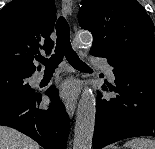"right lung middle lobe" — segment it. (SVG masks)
I'll return each instance as SVG.
<instances>
[{
    "label": "right lung middle lobe",
    "mask_w": 155,
    "mask_h": 149,
    "mask_svg": "<svg viewBox=\"0 0 155 149\" xmlns=\"http://www.w3.org/2000/svg\"><path fill=\"white\" fill-rule=\"evenodd\" d=\"M32 74L0 67V99L29 98L35 91L29 86Z\"/></svg>",
    "instance_id": "obj_1"
}]
</instances>
